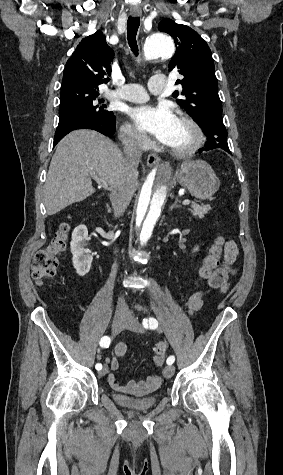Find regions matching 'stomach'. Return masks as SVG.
<instances>
[{
	"mask_svg": "<svg viewBox=\"0 0 283 475\" xmlns=\"http://www.w3.org/2000/svg\"><path fill=\"white\" fill-rule=\"evenodd\" d=\"M159 172H164V170H159ZM174 178L198 200L211 198L219 188V180L214 170L204 160H185Z\"/></svg>",
	"mask_w": 283,
	"mask_h": 475,
	"instance_id": "0dacf381",
	"label": "stomach"
}]
</instances>
